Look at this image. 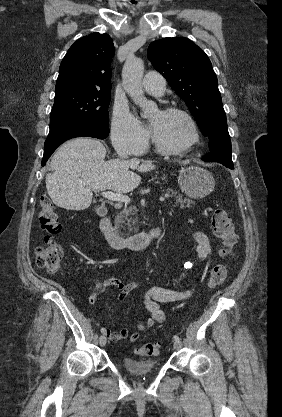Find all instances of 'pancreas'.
<instances>
[{"mask_svg": "<svg viewBox=\"0 0 282 417\" xmlns=\"http://www.w3.org/2000/svg\"><path fill=\"white\" fill-rule=\"evenodd\" d=\"M165 194H168L167 198H173V200H176L175 204L173 206H180V209H185V206H191V204H194V200H191V198H186V196H182L180 192H177V190H172V188H166ZM135 215V209L134 206H129V209H123V211H120L118 213L116 219H115V225H118L121 227V229H130L132 225H136L137 221L135 219H129V217H133ZM138 229H135V233H137Z\"/></svg>", "mask_w": 282, "mask_h": 417, "instance_id": "cf45deb5", "label": "pancreas"}]
</instances>
